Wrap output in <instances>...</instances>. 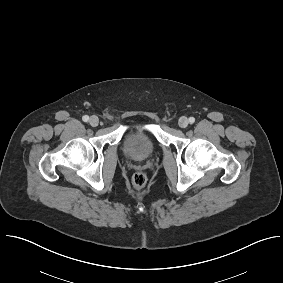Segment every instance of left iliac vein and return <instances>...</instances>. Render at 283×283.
I'll return each instance as SVG.
<instances>
[{
	"label": "left iliac vein",
	"instance_id": "1",
	"mask_svg": "<svg viewBox=\"0 0 283 283\" xmlns=\"http://www.w3.org/2000/svg\"><path fill=\"white\" fill-rule=\"evenodd\" d=\"M178 124L181 128H186L189 124V121L186 117H181L178 121Z\"/></svg>",
	"mask_w": 283,
	"mask_h": 283
}]
</instances>
